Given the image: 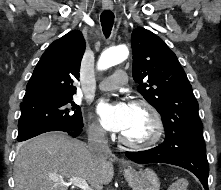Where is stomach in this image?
<instances>
[{"label": "stomach", "mask_w": 221, "mask_h": 190, "mask_svg": "<svg viewBox=\"0 0 221 190\" xmlns=\"http://www.w3.org/2000/svg\"><path fill=\"white\" fill-rule=\"evenodd\" d=\"M124 176L133 190H160L159 178L151 169H125Z\"/></svg>", "instance_id": "0dacf381"}]
</instances>
